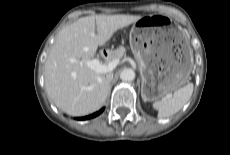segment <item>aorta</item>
Here are the masks:
<instances>
[{"label": "aorta", "mask_w": 230, "mask_h": 155, "mask_svg": "<svg viewBox=\"0 0 230 155\" xmlns=\"http://www.w3.org/2000/svg\"><path fill=\"white\" fill-rule=\"evenodd\" d=\"M120 79L125 82H131L135 79V72L131 68L123 69L120 73Z\"/></svg>", "instance_id": "aorta-1"}]
</instances>
